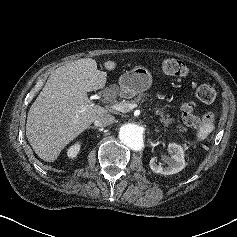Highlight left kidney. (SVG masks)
Segmentation results:
<instances>
[{
	"label": "left kidney",
	"instance_id": "left-kidney-1",
	"mask_svg": "<svg viewBox=\"0 0 237 237\" xmlns=\"http://www.w3.org/2000/svg\"><path fill=\"white\" fill-rule=\"evenodd\" d=\"M168 150L173 154L172 160L166 159L167 167H162L156 163V157L151 158L149 166L154 173L170 175L180 172L185 168L184 150L175 143L168 145Z\"/></svg>",
	"mask_w": 237,
	"mask_h": 237
}]
</instances>
